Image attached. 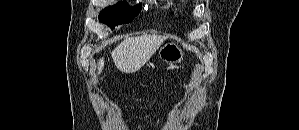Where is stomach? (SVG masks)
I'll use <instances>...</instances> for the list:
<instances>
[{
  "label": "stomach",
  "mask_w": 299,
  "mask_h": 130,
  "mask_svg": "<svg viewBox=\"0 0 299 130\" xmlns=\"http://www.w3.org/2000/svg\"><path fill=\"white\" fill-rule=\"evenodd\" d=\"M158 56L165 63L176 64L183 60L184 53L176 43L170 42L159 49Z\"/></svg>",
  "instance_id": "obj_1"
}]
</instances>
